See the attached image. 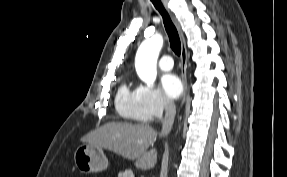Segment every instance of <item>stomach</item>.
Returning <instances> with one entry per match:
<instances>
[{"mask_svg":"<svg viewBox=\"0 0 287 177\" xmlns=\"http://www.w3.org/2000/svg\"><path fill=\"white\" fill-rule=\"evenodd\" d=\"M74 162L83 174L101 172L108 167V159L103 149L89 143L82 144L76 149Z\"/></svg>","mask_w":287,"mask_h":177,"instance_id":"obj_1","label":"stomach"}]
</instances>
